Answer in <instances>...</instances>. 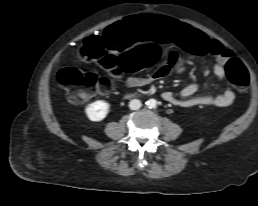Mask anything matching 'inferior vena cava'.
<instances>
[{"label": "inferior vena cava", "instance_id": "602c4592", "mask_svg": "<svg viewBox=\"0 0 258 206\" xmlns=\"http://www.w3.org/2000/svg\"><path fill=\"white\" fill-rule=\"evenodd\" d=\"M141 106H142V103H141V101L138 100V99H133V100H131V101L129 102V108H130L131 110H138V109L141 108Z\"/></svg>", "mask_w": 258, "mask_h": 206}]
</instances>
